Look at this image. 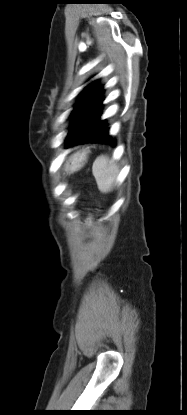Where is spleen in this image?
Here are the masks:
<instances>
[{"label":"spleen","mask_w":187,"mask_h":415,"mask_svg":"<svg viewBox=\"0 0 187 415\" xmlns=\"http://www.w3.org/2000/svg\"><path fill=\"white\" fill-rule=\"evenodd\" d=\"M92 172L100 192H110L117 180V166L112 164L106 156L101 155L94 161Z\"/></svg>","instance_id":"1"}]
</instances>
